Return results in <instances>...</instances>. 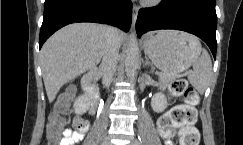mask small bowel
I'll list each match as a JSON object with an SVG mask.
<instances>
[{
	"label": "small bowel",
	"mask_w": 243,
	"mask_h": 145,
	"mask_svg": "<svg viewBox=\"0 0 243 145\" xmlns=\"http://www.w3.org/2000/svg\"><path fill=\"white\" fill-rule=\"evenodd\" d=\"M78 119H80V118H76L75 121ZM80 120H82V119H80ZM84 123H85V128L83 130H77V131L68 130V129L65 130L63 132V138L61 140V145H76L81 140H83L85 132L87 131V128H88L87 122L84 121ZM164 145H174V144L170 139L165 138Z\"/></svg>",
	"instance_id": "obj_1"
}]
</instances>
